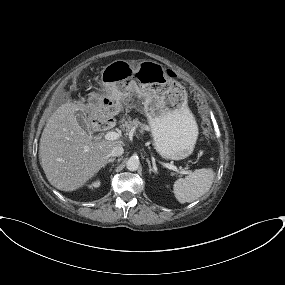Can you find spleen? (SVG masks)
<instances>
[{
  "instance_id": "obj_1",
  "label": "spleen",
  "mask_w": 285,
  "mask_h": 285,
  "mask_svg": "<svg viewBox=\"0 0 285 285\" xmlns=\"http://www.w3.org/2000/svg\"><path fill=\"white\" fill-rule=\"evenodd\" d=\"M213 180L214 171L211 168L197 169L174 182V195L182 204L193 202L210 190Z\"/></svg>"
}]
</instances>
